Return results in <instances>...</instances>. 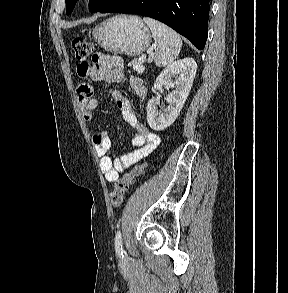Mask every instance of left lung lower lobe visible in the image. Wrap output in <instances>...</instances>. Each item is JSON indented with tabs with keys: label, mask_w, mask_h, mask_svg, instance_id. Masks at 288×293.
Masks as SVG:
<instances>
[{
	"label": "left lung lower lobe",
	"mask_w": 288,
	"mask_h": 293,
	"mask_svg": "<svg viewBox=\"0 0 288 293\" xmlns=\"http://www.w3.org/2000/svg\"><path fill=\"white\" fill-rule=\"evenodd\" d=\"M210 0H117L100 13L139 14L159 20L199 50L208 36Z\"/></svg>",
	"instance_id": "obj_1"
}]
</instances>
